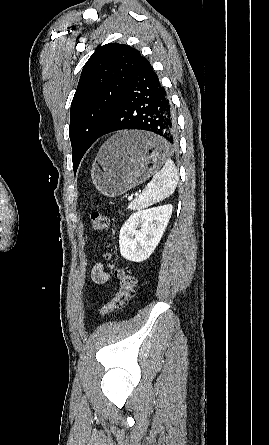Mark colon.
Masks as SVG:
<instances>
[{
	"mask_svg": "<svg viewBox=\"0 0 269 445\" xmlns=\"http://www.w3.org/2000/svg\"><path fill=\"white\" fill-rule=\"evenodd\" d=\"M91 223L94 230L103 231L109 226V218L102 213L93 212L91 214ZM105 257L119 282V289L113 298L100 308V315L102 316L123 308L134 296V289L137 283L136 278L126 268L118 267L114 263L112 253H106Z\"/></svg>",
	"mask_w": 269,
	"mask_h": 445,
	"instance_id": "colon-1",
	"label": "colon"
}]
</instances>
